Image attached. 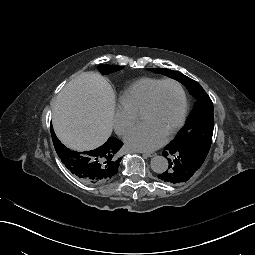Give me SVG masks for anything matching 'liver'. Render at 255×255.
I'll list each match as a JSON object with an SVG mask.
<instances>
[{"label": "liver", "mask_w": 255, "mask_h": 255, "mask_svg": "<svg viewBox=\"0 0 255 255\" xmlns=\"http://www.w3.org/2000/svg\"><path fill=\"white\" fill-rule=\"evenodd\" d=\"M115 93L98 72H84L69 81L52 105V123L69 149L89 151L111 136Z\"/></svg>", "instance_id": "obj_1"}]
</instances>
